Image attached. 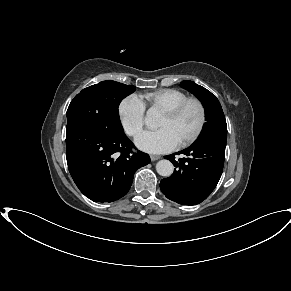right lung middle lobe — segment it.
I'll list each match as a JSON object with an SVG mask.
<instances>
[{
  "label": "right lung middle lobe",
  "instance_id": "obj_1",
  "mask_svg": "<svg viewBox=\"0 0 291 291\" xmlns=\"http://www.w3.org/2000/svg\"><path fill=\"white\" fill-rule=\"evenodd\" d=\"M135 87L112 80L102 81L83 89L67 110V126L80 125L97 132L123 130L118 107Z\"/></svg>",
  "mask_w": 291,
  "mask_h": 291
}]
</instances>
